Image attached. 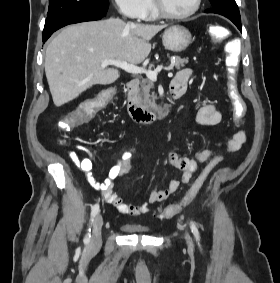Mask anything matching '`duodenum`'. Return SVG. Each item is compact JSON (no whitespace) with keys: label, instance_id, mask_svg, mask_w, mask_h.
<instances>
[{"label":"duodenum","instance_id":"1","mask_svg":"<svg viewBox=\"0 0 280 283\" xmlns=\"http://www.w3.org/2000/svg\"><path fill=\"white\" fill-rule=\"evenodd\" d=\"M139 80L134 78L129 80L126 87L127 110L133 120L140 124H151L160 120L165 111L155 112L147 110L140 106L138 101ZM170 97L177 99L181 96V92L177 90L176 85L172 82L170 86Z\"/></svg>","mask_w":280,"mask_h":283}]
</instances>
